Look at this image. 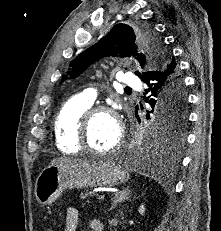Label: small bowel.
Here are the masks:
<instances>
[{
	"label": "small bowel",
	"instance_id": "c3829d8e",
	"mask_svg": "<svg viewBox=\"0 0 221 231\" xmlns=\"http://www.w3.org/2000/svg\"><path fill=\"white\" fill-rule=\"evenodd\" d=\"M78 222H79V211L76 207L72 206L69 207L66 213V222H65V228L64 231H76V228L78 226ZM90 226L92 228V230H94V228H99L100 231H103L104 229V225L103 223L98 220V219H94L91 221Z\"/></svg>",
	"mask_w": 221,
	"mask_h": 231
}]
</instances>
